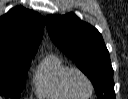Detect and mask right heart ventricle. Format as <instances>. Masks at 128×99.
<instances>
[{"label": "right heart ventricle", "instance_id": "obj_1", "mask_svg": "<svg viewBox=\"0 0 128 99\" xmlns=\"http://www.w3.org/2000/svg\"><path fill=\"white\" fill-rule=\"evenodd\" d=\"M70 67L55 53L47 54L34 74V89L39 98L72 99L66 90L64 76Z\"/></svg>", "mask_w": 128, "mask_h": 99}]
</instances>
